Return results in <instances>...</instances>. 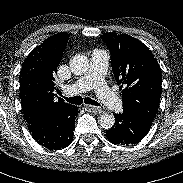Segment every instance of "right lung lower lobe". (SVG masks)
Returning <instances> with one entry per match:
<instances>
[{
  "label": "right lung lower lobe",
  "instance_id": "obj_1",
  "mask_svg": "<svg viewBox=\"0 0 183 183\" xmlns=\"http://www.w3.org/2000/svg\"><path fill=\"white\" fill-rule=\"evenodd\" d=\"M78 108L65 114L39 113L34 115L28 128L33 138L42 146L51 150L66 148L73 140L75 117Z\"/></svg>",
  "mask_w": 183,
  "mask_h": 183
}]
</instances>
